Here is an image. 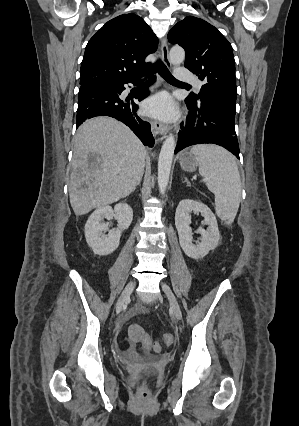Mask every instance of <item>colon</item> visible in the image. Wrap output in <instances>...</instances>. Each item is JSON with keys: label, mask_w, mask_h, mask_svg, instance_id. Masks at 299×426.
<instances>
[{"label": "colon", "mask_w": 299, "mask_h": 426, "mask_svg": "<svg viewBox=\"0 0 299 426\" xmlns=\"http://www.w3.org/2000/svg\"><path fill=\"white\" fill-rule=\"evenodd\" d=\"M128 336L131 341L135 343H142L145 348H154L156 351L170 347L173 344V337L168 333L164 334L158 342H153V340L138 324H132L129 326ZM137 395L141 400H147L150 397L149 387L146 384H141L137 390Z\"/></svg>", "instance_id": "colon-1"}]
</instances>
